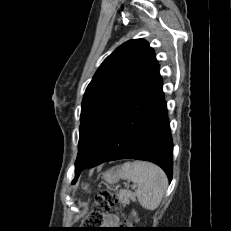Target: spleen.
Instances as JSON below:
<instances>
[{
	"mask_svg": "<svg viewBox=\"0 0 231 231\" xmlns=\"http://www.w3.org/2000/svg\"><path fill=\"white\" fill-rule=\"evenodd\" d=\"M117 173L119 177L137 184L136 196L143 208H158L168 186L167 176L159 166L145 161H133L123 164Z\"/></svg>",
	"mask_w": 231,
	"mask_h": 231,
	"instance_id": "3e777b00",
	"label": "spleen"
}]
</instances>
